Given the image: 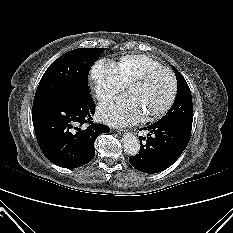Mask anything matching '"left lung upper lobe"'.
Listing matches in <instances>:
<instances>
[{
	"label": "left lung upper lobe",
	"mask_w": 233,
	"mask_h": 233,
	"mask_svg": "<svg viewBox=\"0 0 233 233\" xmlns=\"http://www.w3.org/2000/svg\"><path fill=\"white\" fill-rule=\"evenodd\" d=\"M174 70L178 85L176 99L167 114L160 120L173 122L179 127L191 132L193 122L191 91L183 76L176 68Z\"/></svg>",
	"instance_id": "obj_1"
}]
</instances>
